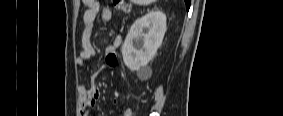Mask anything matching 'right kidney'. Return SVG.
I'll use <instances>...</instances> for the list:
<instances>
[{"mask_svg": "<svg viewBox=\"0 0 283 116\" xmlns=\"http://www.w3.org/2000/svg\"><path fill=\"white\" fill-rule=\"evenodd\" d=\"M165 32L166 15L161 11H151L137 19L122 46L125 65L131 71L145 67L161 46Z\"/></svg>", "mask_w": 283, "mask_h": 116, "instance_id": "1", "label": "right kidney"}]
</instances>
